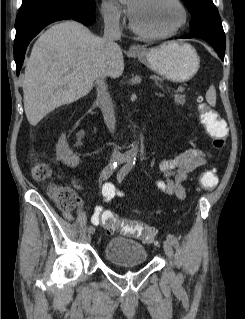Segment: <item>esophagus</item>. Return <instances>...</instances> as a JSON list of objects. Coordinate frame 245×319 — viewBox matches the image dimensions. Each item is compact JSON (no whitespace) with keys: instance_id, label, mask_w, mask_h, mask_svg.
I'll return each mask as SVG.
<instances>
[{"instance_id":"esophagus-1","label":"esophagus","mask_w":245,"mask_h":319,"mask_svg":"<svg viewBox=\"0 0 245 319\" xmlns=\"http://www.w3.org/2000/svg\"><path fill=\"white\" fill-rule=\"evenodd\" d=\"M129 50L132 53H137V52L142 51V48L139 45L133 44L130 46Z\"/></svg>"}]
</instances>
